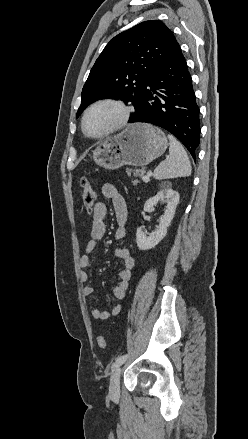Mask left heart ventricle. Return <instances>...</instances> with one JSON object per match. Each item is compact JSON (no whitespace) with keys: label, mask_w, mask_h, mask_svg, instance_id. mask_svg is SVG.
<instances>
[{"label":"left heart ventricle","mask_w":248,"mask_h":439,"mask_svg":"<svg viewBox=\"0 0 248 439\" xmlns=\"http://www.w3.org/2000/svg\"><path fill=\"white\" fill-rule=\"evenodd\" d=\"M120 118V111L113 105H100L94 108L86 118V130L97 135L115 125Z\"/></svg>","instance_id":"left-heart-ventricle-1"}]
</instances>
